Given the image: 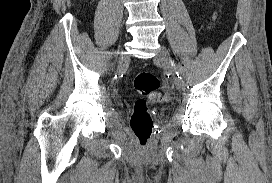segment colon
<instances>
[{
    "mask_svg": "<svg viewBox=\"0 0 272 183\" xmlns=\"http://www.w3.org/2000/svg\"><path fill=\"white\" fill-rule=\"evenodd\" d=\"M133 85L140 95L153 101H162L167 98L166 95L158 93L160 82L157 76L151 72L138 73L134 78ZM130 127L138 143L145 146L151 137L153 122L148 111L147 101L143 98L135 102Z\"/></svg>",
    "mask_w": 272,
    "mask_h": 183,
    "instance_id": "5ec220e1",
    "label": "colon"
}]
</instances>
